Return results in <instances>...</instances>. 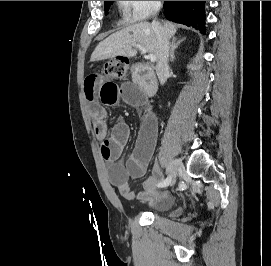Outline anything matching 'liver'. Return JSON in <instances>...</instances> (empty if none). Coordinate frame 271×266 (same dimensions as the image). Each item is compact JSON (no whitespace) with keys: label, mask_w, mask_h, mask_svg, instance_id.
Segmentation results:
<instances>
[{"label":"liver","mask_w":271,"mask_h":266,"mask_svg":"<svg viewBox=\"0 0 271 266\" xmlns=\"http://www.w3.org/2000/svg\"><path fill=\"white\" fill-rule=\"evenodd\" d=\"M171 38L177 31L176 24L164 22L162 26ZM142 45L146 50L158 58L159 50L156 33L149 22H141L124 28L101 41L91 55L90 61H100L116 56L133 57L137 50L133 45Z\"/></svg>","instance_id":"liver-1"}]
</instances>
